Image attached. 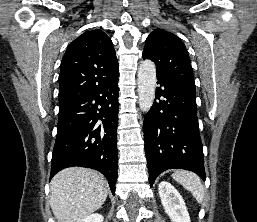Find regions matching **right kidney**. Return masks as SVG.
<instances>
[{
  "label": "right kidney",
  "mask_w": 257,
  "mask_h": 222,
  "mask_svg": "<svg viewBox=\"0 0 257 222\" xmlns=\"http://www.w3.org/2000/svg\"><path fill=\"white\" fill-rule=\"evenodd\" d=\"M104 217L98 213L91 214L84 218L81 222H103Z\"/></svg>",
  "instance_id": "obj_1"
}]
</instances>
